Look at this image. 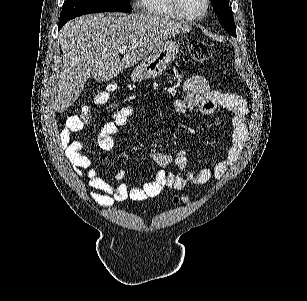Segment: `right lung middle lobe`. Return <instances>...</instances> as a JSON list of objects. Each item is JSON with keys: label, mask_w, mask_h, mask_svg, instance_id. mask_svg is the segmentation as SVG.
<instances>
[{"label": "right lung middle lobe", "mask_w": 307, "mask_h": 301, "mask_svg": "<svg viewBox=\"0 0 307 301\" xmlns=\"http://www.w3.org/2000/svg\"><path fill=\"white\" fill-rule=\"evenodd\" d=\"M131 12L129 0H66L59 19L60 29L75 17L99 12Z\"/></svg>", "instance_id": "obj_1"}]
</instances>
